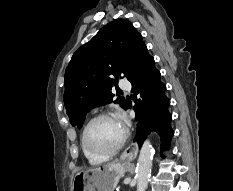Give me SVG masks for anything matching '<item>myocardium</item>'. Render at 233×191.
Listing matches in <instances>:
<instances>
[{"instance_id": "1", "label": "myocardium", "mask_w": 233, "mask_h": 191, "mask_svg": "<svg viewBox=\"0 0 233 191\" xmlns=\"http://www.w3.org/2000/svg\"><path fill=\"white\" fill-rule=\"evenodd\" d=\"M101 119H115L117 120L112 114L110 113H100L96 116H94L93 118H91L88 123L85 125L84 130H83V136H82V141H83V145L85 150L92 156L94 157H98V158H107L110 157L112 155H114L115 153H117L126 143L127 137H128V131L126 129H124V135L122 137V139L120 140V142L114 146L112 149L108 150V151H97L95 149H93L90 144H89V132L90 129L92 128V126L99 120Z\"/></svg>"}]
</instances>
